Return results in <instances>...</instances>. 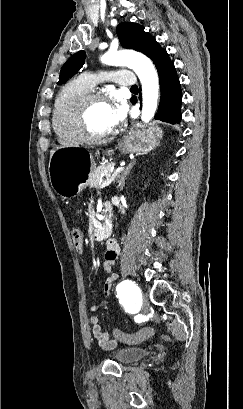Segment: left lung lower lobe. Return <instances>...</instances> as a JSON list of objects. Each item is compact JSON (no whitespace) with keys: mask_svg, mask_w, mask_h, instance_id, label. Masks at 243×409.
Instances as JSON below:
<instances>
[{"mask_svg":"<svg viewBox=\"0 0 243 409\" xmlns=\"http://www.w3.org/2000/svg\"><path fill=\"white\" fill-rule=\"evenodd\" d=\"M157 71L160 79L161 99L155 119L171 124L180 123L182 92L174 64L170 61ZM131 102L134 104L137 99L133 97Z\"/></svg>","mask_w":243,"mask_h":409,"instance_id":"1","label":"left lung lower lobe"}]
</instances>
